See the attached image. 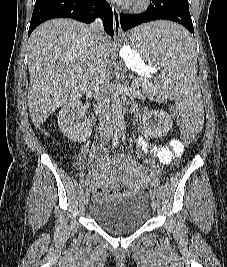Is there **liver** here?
<instances>
[{
    "label": "liver",
    "mask_w": 227,
    "mask_h": 267,
    "mask_svg": "<svg viewBox=\"0 0 227 267\" xmlns=\"http://www.w3.org/2000/svg\"><path fill=\"white\" fill-rule=\"evenodd\" d=\"M101 42L108 57L111 40L104 35ZM95 56V41L84 23L53 19L35 29L28 46V106L35 127L86 93Z\"/></svg>",
    "instance_id": "liver-1"
}]
</instances>
